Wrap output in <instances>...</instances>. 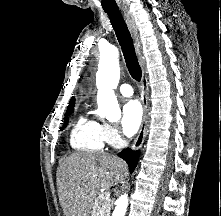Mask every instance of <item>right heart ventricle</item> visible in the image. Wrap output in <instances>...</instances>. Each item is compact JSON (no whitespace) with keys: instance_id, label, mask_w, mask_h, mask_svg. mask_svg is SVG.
Returning <instances> with one entry per match:
<instances>
[{"instance_id":"1","label":"right heart ventricle","mask_w":221,"mask_h":216,"mask_svg":"<svg viewBox=\"0 0 221 216\" xmlns=\"http://www.w3.org/2000/svg\"><path fill=\"white\" fill-rule=\"evenodd\" d=\"M103 124L87 116H81L70 133V145L81 151H100L105 145Z\"/></svg>"}]
</instances>
